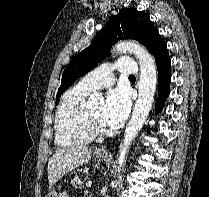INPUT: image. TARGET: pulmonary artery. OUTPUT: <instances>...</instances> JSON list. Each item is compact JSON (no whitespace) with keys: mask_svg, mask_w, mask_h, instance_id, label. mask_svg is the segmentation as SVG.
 <instances>
[{"mask_svg":"<svg viewBox=\"0 0 209 197\" xmlns=\"http://www.w3.org/2000/svg\"><path fill=\"white\" fill-rule=\"evenodd\" d=\"M115 70L122 74H135L138 68L133 58L123 57L115 64L106 63L88 73L80 80L79 85L90 91L108 87L114 82Z\"/></svg>","mask_w":209,"mask_h":197,"instance_id":"e3ab8cb5","label":"pulmonary artery"}]
</instances>
